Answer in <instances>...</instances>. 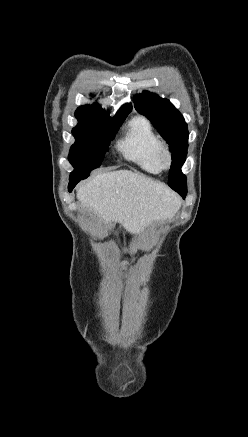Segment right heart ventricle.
<instances>
[{
    "label": "right heart ventricle",
    "instance_id": "right-heart-ventricle-1",
    "mask_svg": "<svg viewBox=\"0 0 248 437\" xmlns=\"http://www.w3.org/2000/svg\"><path fill=\"white\" fill-rule=\"evenodd\" d=\"M161 139L156 134L151 122L145 117H135L129 121L124 137L118 148L124 157L147 173H160L159 161Z\"/></svg>",
    "mask_w": 248,
    "mask_h": 437
}]
</instances>
